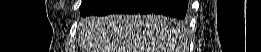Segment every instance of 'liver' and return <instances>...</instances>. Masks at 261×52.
<instances>
[{
	"mask_svg": "<svg viewBox=\"0 0 261 52\" xmlns=\"http://www.w3.org/2000/svg\"><path fill=\"white\" fill-rule=\"evenodd\" d=\"M81 26L88 52H174L184 34L161 15L91 16Z\"/></svg>",
	"mask_w": 261,
	"mask_h": 52,
	"instance_id": "6515ba94",
	"label": "liver"
}]
</instances>
